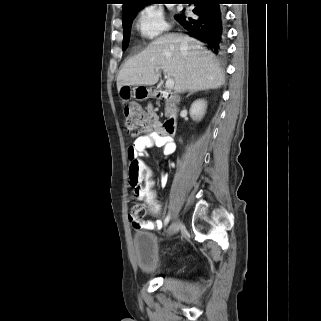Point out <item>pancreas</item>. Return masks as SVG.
Instances as JSON below:
<instances>
[{
  "instance_id": "cf45deb5",
  "label": "pancreas",
  "mask_w": 321,
  "mask_h": 321,
  "mask_svg": "<svg viewBox=\"0 0 321 321\" xmlns=\"http://www.w3.org/2000/svg\"><path fill=\"white\" fill-rule=\"evenodd\" d=\"M174 113H175V109L173 108V105L167 103L165 107V116L170 117Z\"/></svg>"
}]
</instances>
